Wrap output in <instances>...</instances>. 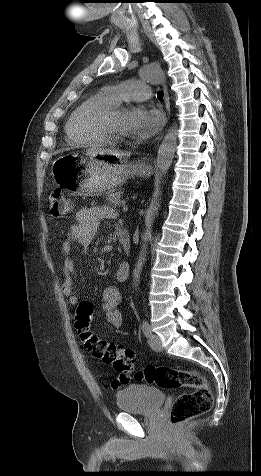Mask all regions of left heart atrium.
<instances>
[{
  "label": "left heart atrium",
  "mask_w": 261,
  "mask_h": 476,
  "mask_svg": "<svg viewBox=\"0 0 261 476\" xmlns=\"http://www.w3.org/2000/svg\"><path fill=\"white\" fill-rule=\"evenodd\" d=\"M162 123V115L156 109L138 106L127 112L126 124L129 134L141 139L154 135L160 129Z\"/></svg>",
  "instance_id": "1"
}]
</instances>
